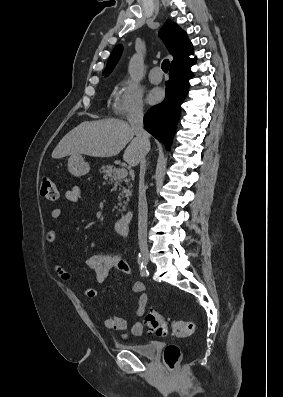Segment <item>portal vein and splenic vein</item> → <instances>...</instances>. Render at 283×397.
<instances>
[{
    "instance_id": "obj_1",
    "label": "portal vein and splenic vein",
    "mask_w": 283,
    "mask_h": 397,
    "mask_svg": "<svg viewBox=\"0 0 283 397\" xmlns=\"http://www.w3.org/2000/svg\"><path fill=\"white\" fill-rule=\"evenodd\" d=\"M127 174H128L127 170L125 168H121L118 170L117 178L118 179L125 178L127 176Z\"/></svg>"
}]
</instances>
